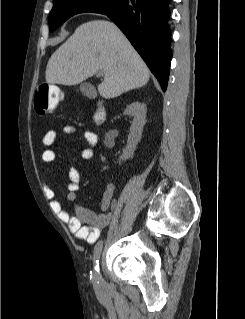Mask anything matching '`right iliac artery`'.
<instances>
[{"mask_svg":"<svg viewBox=\"0 0 245 319\" xmlns=\"http://www.w3.org/2000/svg\"><path fill=\"white\" fill-rule=\"evenodd\" d=\"M102 243H97L95 248H94V272H93V282L96 285V287H98L101 282V275L99 272V259H100V255H101V251H102Z\"/></svg>","mask_w":245,"mask_h":319,"instance_id":"right-iliac-artery-1","label":"right iliac artery"}]
</instances>
